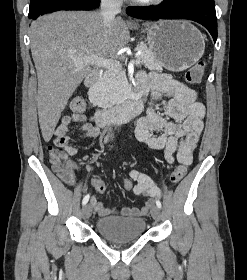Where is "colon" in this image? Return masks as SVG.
I'll return each mask as SVG.
<instances>
[{
    "label": "colon",
    "mask_w": 247,
    "mask_h": 280,
    "mask_svg": "<svg viewBox=\"0 0 247 280\" xmlns=\"http://www.w3.org/2000/svg\"><path fill=\"white\" fill-rule=\"evenodd\" d=\"M206 64L203 60L196 62L186 73V81L190 84H197L201 81ZM70 109L76 115H83L86 110L85 101L82 98H75L70 103ZM48 154L50 156L53 168L60 178L68 179L71 177L73 165L67 158V152L60 146L49 145ZM187 174V168L184 165L177 166L170 176L173 185L178 184ZM122 186L126 190H131L133 181L128 176L121 178Z\"/></svg>",
    "instance_id": "5ec220e1"
}]
</instances>
